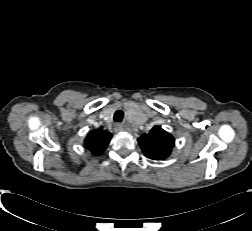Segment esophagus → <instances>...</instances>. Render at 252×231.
Segmentation results:
<instances>
[{"label":"esophagus","mask_w":252,"mask_h":231,"mask_svg":"<svg viewBox=\"0 0 252 231\" xmlns=\"http://www.w3.org/2000/svg\"><path fill=\"white\" fill-rule=\"evenodd\" d=\"M114 130H115V132H121V131H123V126H122V124L116 123V124L114 125Z\"/></svg>","instance_id":"34e87169"}]
</instances>
